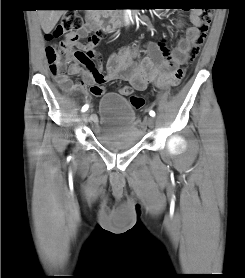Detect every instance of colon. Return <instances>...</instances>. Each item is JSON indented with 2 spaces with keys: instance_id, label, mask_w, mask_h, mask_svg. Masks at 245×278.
<instances>
[{
  "instance_id": "colon-1",
  "label": "colon",
  "mask_w": 245,
  "mask_h": 278,
  "mask_svg": "<svg viewBox=\"0 0 245 278\" xmlns=\"http://www.w3.org/2000/svg\"><path fill=\"white\" fill-rule=\"evenodd\" d=\"M196 10L200 11L198 34L201 38L208 30V26L211 22L210 6H195ZM83 27L82 18L75 13H66L62 16L57 26L45 33V40L47 42V56L49 59V68L51 74L61 79L63 84L68 85L69 81L64 78L65 70L70 62H84L87 59V53L82 49H74L68 43L62 41L56 42L57 39L64 35H68L73 32H78ZM197 51L193 47L191 51V57L194 58ZM118 93L122 96L130 95V88L127 86L120 87ZM130 103L135 109H139L144 104V98L142 96L133 95L129 98Z\"/></svg>"
}]
</instances>
